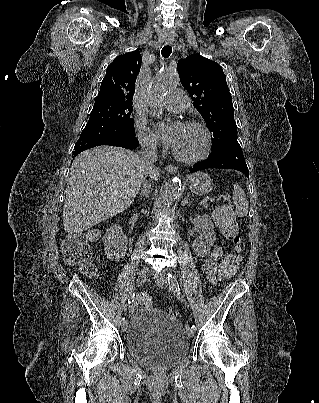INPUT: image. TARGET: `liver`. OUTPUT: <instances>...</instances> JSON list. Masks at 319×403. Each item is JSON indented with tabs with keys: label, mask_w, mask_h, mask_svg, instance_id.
<instances>
[{
	"label": "liver",
	"mask_w": 319,
	"mask_h": 403,
	"mask_svg": "<svg viewBox=\"0 0 319 403\" xmlns=\"http://www.w3.org/2000/svg\"><path fill=\"white\" fill-rule=\"evenodd\" d=\"M72 167L63 208L68 234L88 230L126 210L149 173L136 153L110 146L82 152ZM149 174L154 181L160 176L157 169Z\"/></svg>",
	"instance_id": "1"
}]
</instances>
